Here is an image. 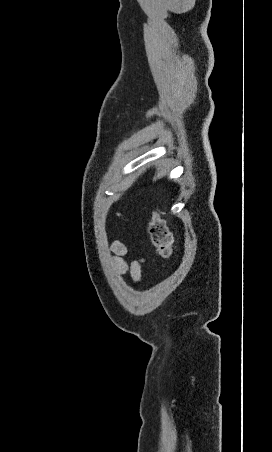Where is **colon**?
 Wrapping results in <instances>:
<instances>
[{"label": "colon", "instance_id": "1", "mask_svg": "<svg viewBox=\"0 0 272 452\" xmlns=\"http://www.w3.org/2000/svg\"><path fill=\"white\" fill-rule=\"evenodd\" d=\"M149 234L157 255L162 262L170 259L173 253V237L165 219L154 211L149 222Z\"/></svg>", "mask_w": 272, "mask_h": 452}]
</instances>
